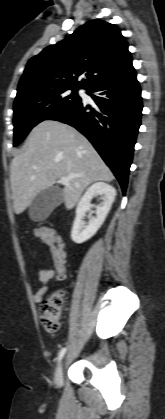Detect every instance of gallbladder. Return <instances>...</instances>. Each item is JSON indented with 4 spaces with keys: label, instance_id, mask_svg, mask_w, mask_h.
Segmentation results:
<instances>
[{
    "label": "gallbladder",
    "instance_id": "gallbladder-1",
    "mask_svg": "<svg viewBox=\"0 0 165 419\" xmlns=\"http://www.w3.org/2000/svg\"><path fill=\"white\" fill-rule=\"evenodd\" d=\"M63 200V191L56 187L42 190L30 204L29 217L35 222L44 221Z\"/></svg>",
    "mask_w": 165,
    "mask_h": 419
}]
</instances>
